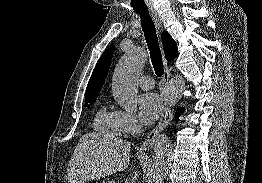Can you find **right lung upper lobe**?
Segmentation results:
<instances>
[{"instance_id":"right-lung-upper-lobe-1","label":"right lung upper lobe","mask_w":262,"mask_h":183,"mask_svg":"<svg viewBox=\"0 0 262 183\" xmlns=\"http://www.w3.org/2000/svg\"><path fill=\"white\" fill-rule=\"evenodd\" d=\"M161 39L165 57L168 62H171L176 57L178 52L176 42L167 31L162 32ZM114 51L115 47L107 49L98 60L86 88V100L96 99L98 96L100 89L105 82L106 75L108 74Z\"/></svg>"}]
</instances>
